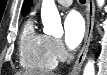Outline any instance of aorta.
Returning <instances> with one entry per match:
<instances>
[{
    "label": "aorta",
    "instance_id": "762f6f07",
    "mask_svg": "<svg viewBox=\"0 0 107 75\" xmlns=\"http://www.w3.org/2000/svg\"><path fill=\"white\" fill-rule=\"evenodd\" d=\"M105 0H97L99 7L104 5ZM41 19L46 34L59 37L63 34L61 18L56 8L54 0H43L41 9ZM83 75H95L94 61H88L84 68Z\"/></svg>",
    "mask_w": 107,
    "mask_h": 75
}]
</instances>
